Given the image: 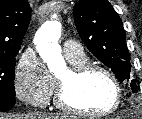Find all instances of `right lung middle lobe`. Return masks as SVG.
I'll list each match as a JSON object with an SVG mask.
<instances>
[{
  "label": "right lung middle lobe",
  "instance_id": "right-lung-middle-lobe-1",
  "mask_svg": "<svg viewBox=\"0 0 142 119\" xmlns=\"http://www.w3.org/2000/svg\"><path fill=\"white\" fill-rule=\"evenodd\" d=\"M17 53H0V98L10 101H15L14 68Z\"/></svg>",
  "mask_w": 142,
  "mask_h": 119
}]
</instances>
